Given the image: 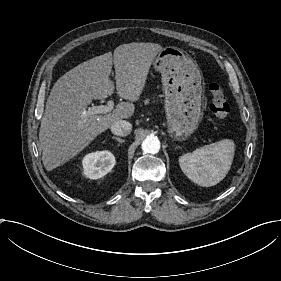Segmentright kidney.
<instances>
[{
  "mask_svg": "<svg viewBox=\"0 0 281 281\" xmlns=\"http://www.w3.org/2000/svg\"><path fill=\"white\" fill-rule=\"evenodd\" d=\"M115 163V156L109 150H94L82 157V174L86 178L96 180L110 172Z\"/></svg>",
  "mask_w": 281,
  "mask_h": 281,
  "instance_id": "ca27d5eb",
  "label": "right kidney"
}]
</instances>
